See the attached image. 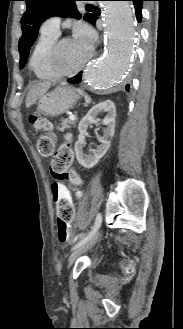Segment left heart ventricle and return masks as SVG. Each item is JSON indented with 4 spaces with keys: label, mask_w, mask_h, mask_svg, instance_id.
I'll list each match as a JSON object with an SVG mask.
<instances>
[{
    "label": "left heart ventricle",
    "mask_w": 183,
    "mask_h": 329,
    "mask_svg": "<svg viewBox=\"0 0 183 329\" xmlns=\"http://www.w3.org/2000/svg\"><path fill=\"white\" fill-rule=\"evenodd\" d=\"M89 51L78 46L73 39L66 40L61 47L59 69L68 71L81 65L88 57Z\"/></svg>",
    "instance_id": "b2bd125f"
}]
</instances>
